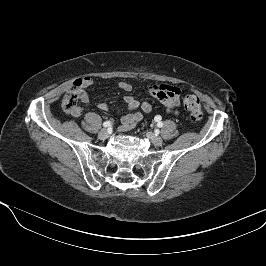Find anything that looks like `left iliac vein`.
<instances>
[{"instance_id":"left-iliac-vein-1","label":"left iliac vein","mask_w":266,"mask_h":266,"mask_svg":"<svg viewBox=\"0 0 266 266\" xmlns=\"http://www.w3.org/2000/svg\"><path fill=\"white\" fill-rule=\"evenodd\" d=\"M147 137L152 141V143L156 146H160L163 143V140L160 136L152 133V132H148L147 133Z\"/></svg>"}]
</instances>
